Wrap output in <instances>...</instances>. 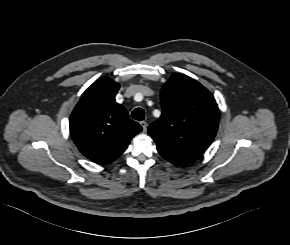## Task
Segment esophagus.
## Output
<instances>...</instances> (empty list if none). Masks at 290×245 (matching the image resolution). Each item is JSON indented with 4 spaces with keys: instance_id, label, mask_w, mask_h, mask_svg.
Instances as JSON below:
<instances>
[{
    "instance_id": "obj_1",
    "label": "esophagus",
    "mask_w": 290,
    "mask_h": 245,
    "mask_svg": "<svg viewBox=\"0 0 290 245\" xmlns=\"http://www.w3.org/2000/svg\"><path fill=\"white\" fill-rule=\"evenodd\" d=\"M140 125L142 126L143 131L146 132V131H147V126H148L147 122H145V121H141V122H140Z\"/></svg>"
}]
</instances>
